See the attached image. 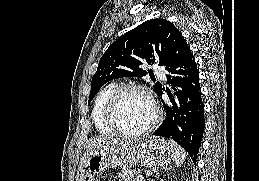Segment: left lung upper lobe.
<instances>
[{"label":"left lung upper lobe","instance_id":"5c2ea615","mask_svg":"<svg viewBox=\"0 0 259 181\" xmlns=\"http://www.w3.org/2000/svg\"><path fill=\"white\" fill-rule=\"evenodd\" d=\"M180 36L179 30L162 18L146 21L124 34L101 57L92 77L89 102L112 79L145 76L144 63L166 66L174 41ZM153 87L159 92L162 85L156 83Z\"/></svg>","mask_w":259,"mask_h":181}]
</instances>
